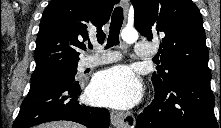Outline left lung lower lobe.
<instances>
[{"instance_id": "0a47b994", "label": "left lung lower lobe", "mask_w": 221, "mask_h": 128, "mask_svg": "<svg viewBox=\"0 0 221 128\" xmlns=\"http://www.w3.org/2000/svg\"><path fill=\"white\" fill-rule=\"evenodd\" d=\"M214 105L210 80L185 77L164 90L155 89L136 128H221Z\"/></svg>"}]
</instances>
